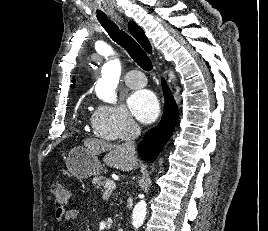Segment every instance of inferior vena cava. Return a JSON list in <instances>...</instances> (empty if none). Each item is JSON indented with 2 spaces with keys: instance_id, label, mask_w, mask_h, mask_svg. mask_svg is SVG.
<instances>
[{
  "instance_id": "602c4592",
  "label": "inferior vena cava",
  "mask_w": 268,
  "mask_h": 231,
  "mask_svg": "<svg viewBox=\"0 0 268 231\" xmlns=\"http://www.w3.org/2000/svg\"><path fill=\"white\" fill-rule=\"evenodd\" d=\"M139 135H140V127L137 124H132L129 129L128 137L125 143L123 144L129 158L134 161L137 160L134 139Z\"/></svg>"
}]
</instances>
